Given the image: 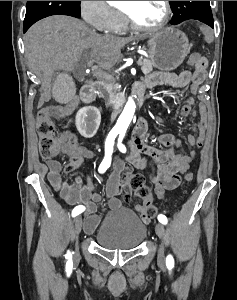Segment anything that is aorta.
Masks as SVG:
<instances>
[{"instance_id": "obj_1", "label": "aorta", "mask_w": 237, "mask_h": 300, "mask_svg": "<svg viewBox=\"0 0 237 300\" xmlns=\"http://www.w3.org/2000/svg\"><path fill=\"white\" fill-rule=\"evenodd\" d=\"M135 109H136V105H135L133 99H131V97H129V99L117 121V127H119V129H123V131H127L128 127L134 117Z\"/></svg>"}]
</instances>
